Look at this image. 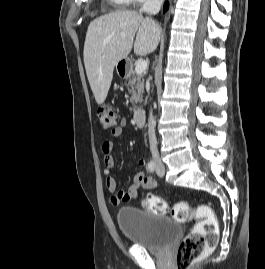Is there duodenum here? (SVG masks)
Masks as SVG:
<instances>
[{
    "instance_id": "410a0bca",
    "label": "duodenum",
    "mask_w": 265,
    "mask_h": 269,
    "mask_svg": "<svg viewBox=\"0 0 265 269\" xmlns=\"http://www.w3.org/2000/svg\"><path fill=\"white\" fill-rule=\"evenodd\" d=\"M122 72L123 75H126L127 73V69L124 67V65L122 66ZM145 110L144 109H137L134 112V121L137 125H143L145 123Z\"/></svg>"
}]
</instances>
